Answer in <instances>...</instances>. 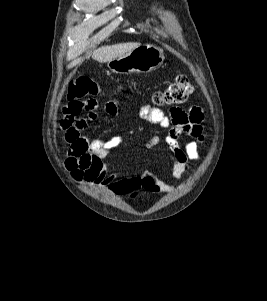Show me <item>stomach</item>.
Returning a JSON list of instances; mask_svg holds the SVG:
<instances>
[{"label": "stomach", "mask_w": 267, "mask_h": 301, "mask_svg": "<svg viewBox=\"0 0 267 301\" xmlns=\"http://www.w3.org/2000/svg\"><path fill=\"white\" fill-rule=\"evenodd\" d=\"M163 50L144 44L108 62V68L118 74L149 73L158 69L164 61Z\"/></svg>", "instance_id": "0dacf381"}]
</instances>
